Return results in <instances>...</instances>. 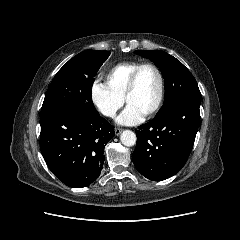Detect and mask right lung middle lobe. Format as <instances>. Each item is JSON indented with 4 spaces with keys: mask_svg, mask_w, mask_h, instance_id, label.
<instances>
[{
    "mask_svg": "<svg viewBox=\"0 0 240 240\" xmlns=\"http://www.w3.org/2000/svg\"><path fill=\"white\" fill-rule=\"evenodd\" d=\"M109 51L86 50L69 60L55 75L44 98L40 117L59 110L94 115L91 90L94 76Z\"/></svg>",
    "mask_w": 240,
    "mask_h": 240,
    "instance_id": "right-lung-middle-lobe-1",
    "label": "right lung middle lobe"
}]
</instances>
